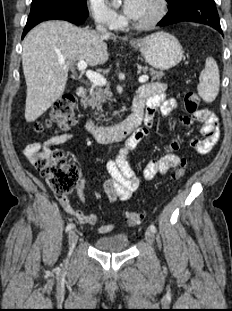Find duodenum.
<instances>
[{"label":"duodenum","mask_w":232,"mask_h":311,"mask_svg":"<svg viewBox=\"0 0 232 311\" xmlns=\"http://www.w3.org/2000/svg\"><path fill=\"white\" fill-rule=\"evenodd\" d=\"M79 97L87 94V87L80 85L76 91ZM144 101L136 97L133 100L132 113L120 124L114 126H97L91 120L86 122V130L98 142L107 143L128 139L143 118Z\"/></svg>","instance_id":"duodenum-1"}]
</instances>
